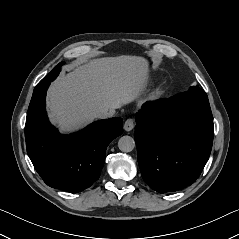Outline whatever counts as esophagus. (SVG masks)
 Listing matches in <instances>:
<instances>
[{"label": "esophagus", "mask_w": 239, "mask_h": 239, "mask_svg": "<svg viewBox=\"0 0 239 239\" xmlns=\"http://www.w3.org/2000/svg\"><path fill=\"white\" fill-rule=\"evenodd\" d=\"M124 130L129 132L134 128V121L132 118H129L125 121L124 126H123Z\"/></svg>", "instance_id": "1"}]
</instances>
